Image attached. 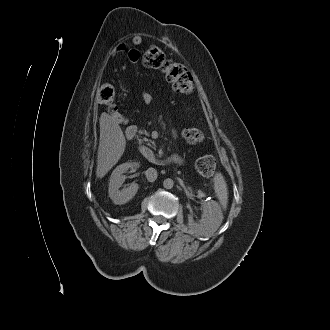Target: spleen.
<instances>
[{
	"label": "spleen",
	"mask_w": 330,
	"mask_h": 330,
	"mask_svg": "<svg viewBox=\"0 0 330 330\" xmlns=\"http://www.w3.org/2000/svg\"><path fill=\"white\" fill-rule=\"evenodd\" d=\"M214 190L219 199V202L223 209L227 208L228 204V188L225 178L221 173H216L214 178Z\"/></svg>",
	"instance_id": "obj_1"
}]
</instances>
